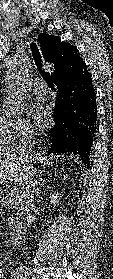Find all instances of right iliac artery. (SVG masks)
Segmentation results:
<instances>
[{"instance_id":"1","label":"right iliac artery","mask_w":113,"mask_h":279,"mask_svg":"<svg viewBox=\"0 0 113 279\" xmlns=\"http://www.w3.org/2000/svg\"><path fill=\"white\" fill-rule=\"evenodd\" d=\"M12 275L14 277L13 279H25L26 272L23 268H18L13 271Z\"/></svg>"}]
</instances>
